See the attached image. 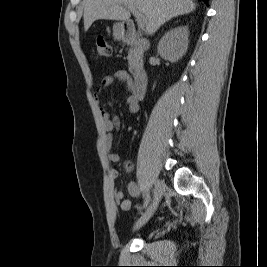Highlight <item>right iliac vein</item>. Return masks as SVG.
<instances>
[{
	"label": "right iliac vein",
	"mask_w": 267,
	"mask_h": 267,
	"mask_svg": "<svg viewBox=\"0 0 267 267\" xmlns=\"http://www.w3.org/2000/svg\"><path fill=\"white\" fill-rule=\"evenodd\" d=\"M155 188H154V199L152 203L148 206L146 211L142 214V216L138 219V221L134 225V230H137L141 228L143 225H145L149 219L153 216L155 213L158 204L162 198V195L165 191L166 185L160 181V180H155L154 182Z\"/></svg>",
	"instance_id": "1"
}]
</instances>
